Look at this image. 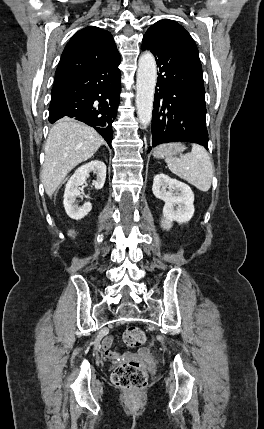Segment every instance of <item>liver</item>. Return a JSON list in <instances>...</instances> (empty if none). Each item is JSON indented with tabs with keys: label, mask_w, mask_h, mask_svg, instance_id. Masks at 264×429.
Masks as SVG:
<instances>
[{
	"label": "liver",
	"mask_w": 264,
	"mask_h": 429,
	"mask_svg": "<svg viewBox=\"0 0 264 429\" xmlns=\"http://www.w3.org/2000/svg\"><path fill=\"white\" fill-rule=\"evenodd\" d=\"M104 139L91 127L63 118L52 126L45 144L41 180L51 197L66 175L78 164L91 158Z\"/></svg>",
	"instance_id": "liver-1"
}]
</instances>
